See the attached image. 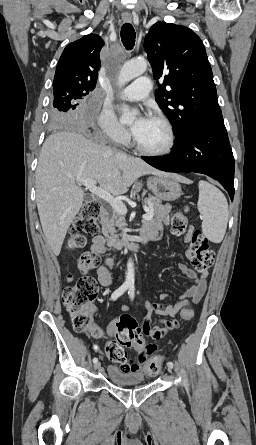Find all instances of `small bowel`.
I'll list each match as a JSON object with an SVG mask.
<instances>
[{"label": "small bowel", "mask_w": 256, "mask_h": 445, "mask_svg": "<svg viewBox=\"0 0 256 445\" xmlns=\"http://www.w3.org/2000/svg\"><path fill=\"white\" fill-rule=\"evenodd\" d=\"M169 206H162L156 213L152 221H150L142 230V235L149 236V238L157 239L161 236L164 225L167 223V215ZM192 231H190L185 237L184 242H189ZM107 252L105 239L102 235H95L92 239V245L90 253L97 256L103 255ZM186 256L191 258V252L187 251ZM114 259L107 257L103 264H100L96 268V274L99 283L108 287L112 284L111 268L114 266ZM179 271L192 280L191 286L186 289L181 295L180 299L174 304H163L161 302H149L147 309L150 314H158L174 318L189 302H199L204 296L207 288L208 272L196 273L185 264L178 265ZM166 293L160 295V300L163 301L167 298ZM117 319L111 321L107 327V334L112 337L116 333ZM143 334L150 337L153 342L146 344L137 361L132 359H126L123 363L119 364L121 370L139 371L144 368L147 361V355L155 352L158 348L157 341L164 337L167 332L179 328V323L176 320H160L155 324L151 323L150 317H146L143 321ZM96 352H101L99 346H94Z\"/></svg>", "instance_id": "small-bowel-1"}]
</instances>
